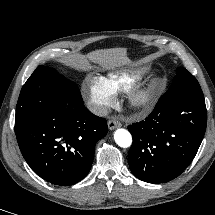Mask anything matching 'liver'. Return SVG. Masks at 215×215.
Segmentation results:
<instances>
[{
	"label": "liver",
	"instance_id": "1",
	"mask_svg": "<svg viewBox=\"0 0 215 215\" xmlns=\"http://www.w3.org/2000/svg\"><path fill=\"white\" fill-rule=\"evenodd\" d=\"M87 59L99 64L104 69H114L129 64L127 52L124 48L96 50L77 60L71 61L70 64L75 67H82L85 65Z\"/></svg>",
	"mask_w": 215,
	"mask_h": 215
}]
</instances>
